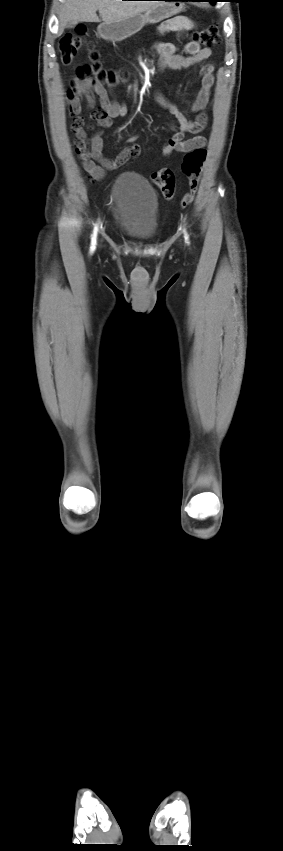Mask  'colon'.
<instances>
[{
  "label": "colon",
  "instance_id": "5ec220e1",
  "mask_svg": "<svg viewBox=\"0 0 283 851\" xmlns=\"http://www.w3.org/2000/svg\"><path fill=\"white\" fill-rule=\"evenodd\" d=\"M84 29H78L75 33H68L60 41L61 60L65 64L73 61L79 49L84 45ZM192 40L207 48L213 47L220 41L218 25L214 24L208 28L196 31L192 34ZM89 63L85 66L86 74L102 85H115L117 76L112 72L102 69L99 62V54L92 45H88ZM126 77V74H123ZM206 158V150L196 148L188 152L183 159L181 170L188 180V192L182 197L180 205L182 208L189 206L195 197L202 167ZM152 180L158 186L166 199H172L175 190V175L171 169L163 168L152 174Z\"/></svg>",
  "mask_w": 283,
  "mask_h": 851
}]
</instances>
